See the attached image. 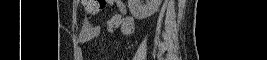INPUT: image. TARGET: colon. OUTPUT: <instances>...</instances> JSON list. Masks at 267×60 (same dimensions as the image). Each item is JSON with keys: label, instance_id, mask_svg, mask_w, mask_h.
Wrapping results in <instances>:
<instances>
[{"label": "colon", "instance_id": "colon-1", "mask_svg": "<svg viewBox=\"0 0 267 60\" xmlns=\"http://www.w3.org/2000/svg\"><path fill=\"white\" fill-rule=\"evenodd\" d=\"M85 16L90 19L100 14L105 6V0H84Z\"/></svg>", "mask_w": 267, "mask_h": 60}]
</instances>
